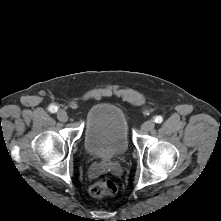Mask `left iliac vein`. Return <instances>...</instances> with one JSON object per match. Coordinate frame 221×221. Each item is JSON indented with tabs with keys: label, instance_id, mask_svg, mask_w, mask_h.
Returning <instances> with one entry per match:
<instances>
[{
	"label": "left iliac vein",
	"instance_id": "1",
	"mask_svg": "<svg viewBox=\"0 0 221 221\" xmlns=\"http://www.w3.org/2000/svg\"><path fill=\"white\" fill-rule=\"evenodd\" d=\"M154 121H152V120H148V121H146V122H144L143 124H142V126H141V129L143 130V131H150V130H152L153 128H154Z\"/></svg>",
	"mask_w": 221,
	"mask_h": 221
}]
</instances>
